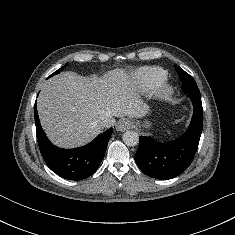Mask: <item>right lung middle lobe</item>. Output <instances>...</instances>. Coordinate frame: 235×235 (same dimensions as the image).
Here are the masks:
<instances>
[{
  "instance_id": "right-lung-middle-lobe-1",
  "label": "right lung middle lobe",
  "mask_w": 235,
  "mask_h": 235,
  "mask_svg": "<svg viewBox=\"0 0 235 235\" xmlns=\"http://www.w3.org/2000/svg\"><path fill=\"white\" fill-rule=\"evenodd\" d=\"M64 67H62V68H60V69H58L57 71H55L53 74H51L49 77H51V76H53V75H55V74H58L62 69H63Z\"/></svg>"
}]
</instances>
